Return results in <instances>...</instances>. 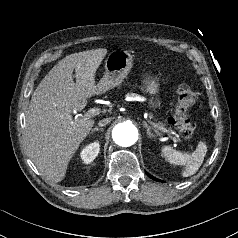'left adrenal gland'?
<instances>
[{
  "mask_svg": "<svg viewBox=\"0 0 238 238\" xmlns=\"http://www.w3.org/2000/svg\"><path fill=\"white\" fill-rule=\"evenodd\" d=\"M143 126L147 129V135L149 138L154 137L153 133L151 132L150 126L144 121Z\"/></svg>",
  "mask_w": 238,
  "mask_h": 238,
  "instance_id": "a2214340",
  "label": "left adrenal gland"
}]
</instances>
